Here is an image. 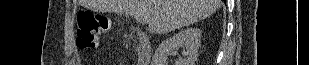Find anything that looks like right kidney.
<instances>
[{"instance_id":"1","label":"right kidney","mask_w":309,"mask_h":65,"mask_svg":"<svg viewBox=\"0 0 309 65\" xmlns=\"http://www.w3.org/2000/svg\"><path fill=\"white\" fill-rule=\"evenodd\" d=\"M201 32L197 28L182 29L172 37L161 42L157 47L153 58L152 65H164L167 62L168 55L185 45L186 52L184 58L175 61V65H194L197 60L198 49L200 46Z\"/></svg>"}]
</instances>
